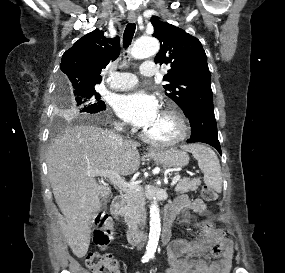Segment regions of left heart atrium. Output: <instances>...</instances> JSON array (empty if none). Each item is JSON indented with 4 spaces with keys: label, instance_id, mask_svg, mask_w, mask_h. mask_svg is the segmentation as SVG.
Returning a JSON list of instances; mask_svg holds the SVG:
<instances>
[{
    "label": "left heart atrium",
    "instance_id": "left-heart-atrium-1",
    "mask_svg": "<svg viewBox=\"0 0 285 273\" xmlns=\"http://www.w3.org/2000/svg\"><path fill=\"white\" fill-rule=\"evenodd\" d=\"M117 115L140 129H147L160 116L158 100L144 91L120 95L114 102Z\"/></svg>",
    "mask_w": 285,
    "mask_h": 273
}]
</instances>
